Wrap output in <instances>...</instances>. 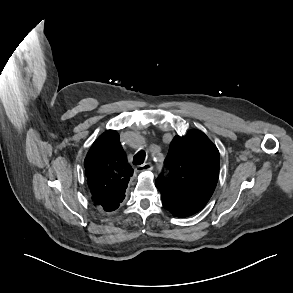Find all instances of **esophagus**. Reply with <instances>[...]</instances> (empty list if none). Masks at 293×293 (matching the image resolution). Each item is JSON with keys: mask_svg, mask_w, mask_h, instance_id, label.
I'll return each mask as SVG.
<instances>
[{"mask_svg": "<svg viewBox=\"0 0 293 293\" xmlns=\"http://www.w3.org/2000/svg\"><path fill=\"white\" fill-rule=\"evenodd\" d=\"M152 169H153V166L151 163H144L142 165H139L135 170L136 172H142V171H149Z\"/></svg>", "mask_w": 293, "mask_h": 293, "instance_id": "34e87169", "label": "esophagus"}]
</instances>
